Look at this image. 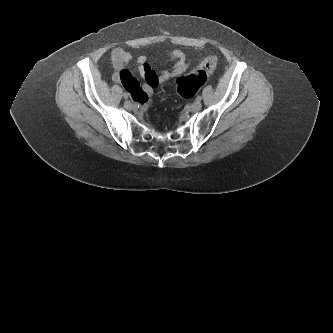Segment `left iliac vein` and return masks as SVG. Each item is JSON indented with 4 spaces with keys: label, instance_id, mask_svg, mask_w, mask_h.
Returning <instances> with one entry per match:
<instances>
[{
    "label": "left iliac vein",
    "instance_id": "left-iliac-vein-1",
    "mask_svg": "<svg viewBox=\"0 0 333 333\" xmlns=\"http://www.w3.org/2000/svg\"><path fill=\"white\" fill-rule=\"evenodd\" d=\"M201 107H202L201 102L200 101H196V102H194L191 105L190 109H191L192 112H197V111H199L201 109Z\"/></svg>",
    "mask_w": 333,
    "mask_h": 333
}]
</instances>
